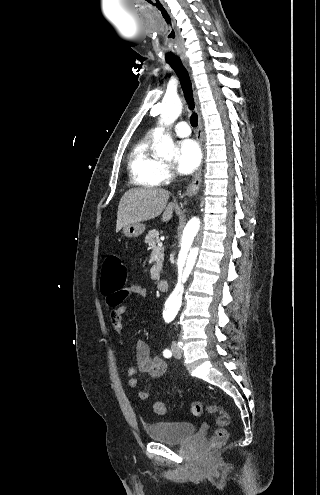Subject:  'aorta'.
<instances>
[{
  "instance_id": "1",
  "label": "aorta",
  "mask_w": 320,
  "mask_h": 495,
  "mask_svg": "<svg viewBox=\"0 0 320 495\" xmlns=\"http://www.w3.org/2000/svg\"><path fill=\"white\" fill-rule=\"evenodd\" d=\"M181 111L182 102L176 95L166 96L161 104L155 105L151 110L152 113L159 115V122L165 126L173 124L180 116ZM155 153L169 159L174 156L175 145L169 132L161 136L155 145ZM205 226L202 216H194L180 231V246L175 258L178 268V282L165 304L166 313L172 317L176 316L181 307L183 284L189 277L199 255L206 231Z\"/></svg>"
}]
</instances>
